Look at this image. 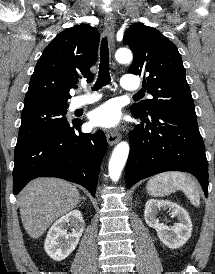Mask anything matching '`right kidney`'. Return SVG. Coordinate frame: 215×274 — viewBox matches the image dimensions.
<instances>
[{"mask_svg":"<svg viewBox=\"0 0 215 274\" xmlns=\"http://www.w3.org/2000/svg\"><path fill=\"white\" fill-rule=\"evenodd\" d=\"M67 226H72V233H67ZM84 220L79 210H73L58 219L49 229L44 249L55 261L67 258L79 243L84 231Z\"/></svg>","mask_w":215,"mask_h":274,"instance_id":"right-kidney-1","label":"right kidney"}]
</instances>
